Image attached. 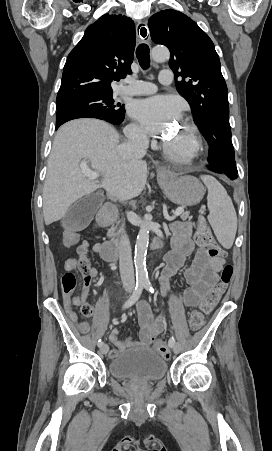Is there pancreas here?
<instances>
[{"label": "pancreas", "mask_w": 272, "mask_h": 451, "mask_svg": "<svg viewBox=\"0 0 272 451\" xmlns=\"http://www.w3.org/2000/svg\"><path fill=\"white\" fill-rule=\"evenodd\" d=\"M189 214L190 212H182V214H180L181 220H187ZM122 231L123 227H119V224H117V226H112L110 227V229H108L107 235L111 237V241H113V243H116V245H118Z\"/></svg>", "instance_id": "1"}]
</instances>
